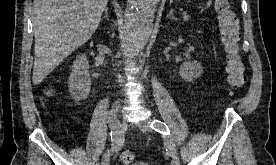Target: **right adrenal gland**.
<instances>
[{
	"label": "right adrenal gland",
	"instance_id": "1",
	"mask_svg": "<svg viewBox=\"0 0 276 165\" xmlns=\"http://www.w3.org/2000/svg\"><path fill=\"white\" fill-rule=\"evenodd\" d=\"M106 18L107 20L109 19L108 18V8L106 7L105 10H104V16L102 17L101 21Z\"/></svg>",
	"mask_w": 276,
	"mask_h": 165
}]
</instances>
